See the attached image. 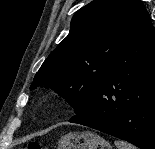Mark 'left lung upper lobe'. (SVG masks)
<instances>
[{
	"label": "left lung upper lobe",
	"mask_w": 155,
	"mask_h": 149,
	"mask_svg": "<svg viewBox=\"0 0 155 149\" xmlns=\"http://www.w3.org/2000/svg\"><path fill=\"white\" fill-rule=\"evenodd\" d=\"M147 13L140 0H94L87 4L75 13L68 36L46 58L30 89L55 90L77 114Z\"/></svg>",
	"instance_id": "obj_1"
}]
</instances>
